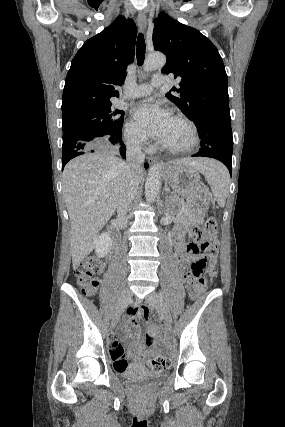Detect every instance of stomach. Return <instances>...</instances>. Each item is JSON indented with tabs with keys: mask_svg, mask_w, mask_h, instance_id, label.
<instances>
[{
	"mask_svg": "<svg viewBox=\"0 0 285 427\" xmlns=\"http://www.w3.org/2000/svg\"><path fill=\"white\" fill-rule=\"evenodd\" d=\"M164 174L173 192L189 200L194 208L191 216H203L208 209L211 193L202 186L198 171L192 166L171 162L166 165Z\"/></svg>",
	"mask_w": 285,
	"mask_h": 427,
	"instance_id": "0dacf381",
	"label": "stomach"
}]
</instances>
